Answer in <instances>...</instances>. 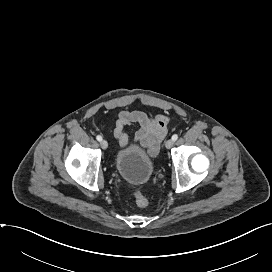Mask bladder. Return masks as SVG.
<instances>
[{
	"label": "bladder",
	"mask_w": 272,
	"mask_h": 272,
	"mask_svg": "<svg viewBox=\"0 0 272 272\" xmlns=\"http://www.w3.org/2000/svg\"><path fill=\"white\" fill-rule=\"evenodd\" d=\"M115 169L125 181L142 185L150 180L154 171V162L144 150L130 145L117 152Z\"/></svg>",
	"instance_id": "31cf9c89"
}]
</instances>
